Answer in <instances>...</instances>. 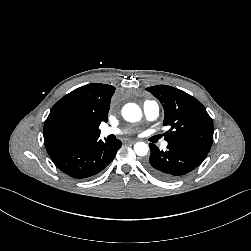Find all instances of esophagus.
Returning <instances> with one entry per match:
<instances>
[{"label":"esophagus","mask_w":251,"mask_h":251,"mask_svg":"<svg viewBox=\"0 0 251 251\" xmlns=\"http://www.w3.org/2000/svg\"><path fill=\"white\" fill-rule=\"evenodd\" d=\"M127 142H128V143L133 144V143H135V142H136V140H134V139H130V140H127Z\"/></svg>","instance_id":"obj_1"}]
</instances>
